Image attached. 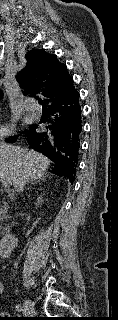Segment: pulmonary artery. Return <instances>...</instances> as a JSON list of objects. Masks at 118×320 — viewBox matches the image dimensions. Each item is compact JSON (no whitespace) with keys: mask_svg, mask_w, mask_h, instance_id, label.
I'll return each mask as SVG.
<instances>
[{"mask_svg":"<svg viewBox=\"0 0 118 320\" xmlns=\"http://www.w3.org/2000/svg\"><path fill=\"white\" fill-rule=\"evenodd\" d=\"M25 109L28 113L33 115H39L40 114V107L37 103L33 102H27L25 104Z\"/></svg>","mask_w":118,"mask_h":320,"instance_id":"obj_1","label":"pulmonary artery"}]
</instances>
